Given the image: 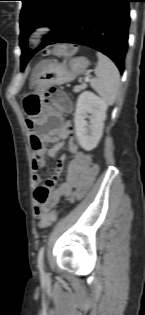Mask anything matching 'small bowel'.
Returning <instances> with one entry per match:
<instances>
[{
  "instance_id": "1",
  "label": "small bowel",
  "mask_w": 145,
  "mask_h": 315,
  "mask_svg": "<svg viewBox=\"0 0 145 315\" xmlns=\"http://www.w3.org/2000/svg\"><path fill=\"white\" fill-rule=\"evenodd\" d=\"M28 127L32 129L33 124L29 122ZM71 130V124L61 129L57 134L59 142L48 149L44 148V142H49L53 139V134L50 129L45 130L40 136V139L32 137L28 142L29 147H32L33 150L32 169L35 173L32 177V185L35 188L34 196L38 203L34 208V215L41 228H46L52 224L44 223L43 217L50 214V209L53 208L60 199L65 198L69 201L82 199L92 187L99 172L98 166L92 162L89 154L79 150L77 145L70 141L68 148L72 153V159L68 163L65 180L61 181L56 186L52 197L49 198L50 188L56 183L63 171L64 159L61 158L58 160L53 174L43 185L40 175L36 172L44 167L45 155L55 157L64 147L65 140L69 137Z\"/></svg>"
}]
</instances>
